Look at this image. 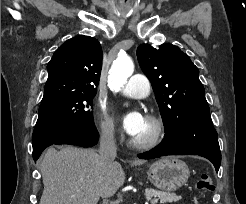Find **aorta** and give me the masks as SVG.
I'll return each mask as SVG.
<instances>
[{
	"mask_svg": "<svg viewBox=\"0 0 246 204\" xmlns=\"http://www.w3.org/2000/svg\"><path fill=\"white\" fill-rule=\"evenodd\" d=\"M134 71V63L129 56H120L109 71L108 84L112 88L122 87Z\"/></svg>",
	"mask_w": 246,
	"mask_h": 204,
	"instance_id": "obj_1",
	"label": "aorta"
}]
</instances>
